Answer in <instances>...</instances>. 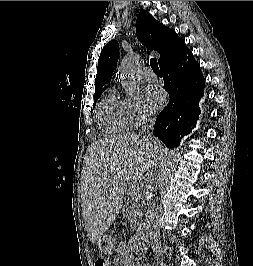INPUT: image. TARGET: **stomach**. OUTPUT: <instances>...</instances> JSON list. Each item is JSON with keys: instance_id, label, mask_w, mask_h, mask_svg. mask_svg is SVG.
Listing matches in <instances>:
<instances>
[{"instance_id": "1", "label": "stomach", "mask_w": 253, "mask_h": 266, "mask_svg": "<svg viewBox=\"0 0 253 266\" xmlns=\"http://www.w3.org/2000/svg\"><path fill=\"white\" fill-rule=\"evenodd\" d=\"M114 246V239L111 235L105 234L98 241V247L102 252H109Z\"/></svg>"}]
</instances>
